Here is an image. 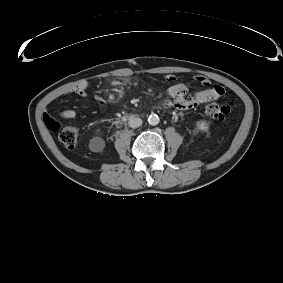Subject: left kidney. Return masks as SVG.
<instances>
[{"instance_id":"5707ae66","label":"left kidney","mask_w":283,"mask_h":283,"mask_svg":"<svg viewBox=\"0 0 283 283\" xmlns=\"http://www.w3.org/2000/svg\"><path fill=\"white\" fill-rule=\"evenodd\" d=\"M197 129L201 131H205L208 129V124L205 121H198L197 122Z\"/></svg>"}]
</instances>
